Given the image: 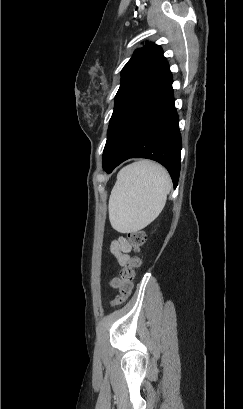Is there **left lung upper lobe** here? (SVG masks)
Masks as SVG:
<instances>
[{
	"label": "left lung upper lobe",
	"instance_id": "1",
	"mask_svg": "<svg viewBox=\"0 0 243 409\" xmlns=\"http://www.w3.org/2000/svg\"><path fill=\"white\" fill-rule=\"evenodd\" d=\"M167 62L160 46L146 43L137 49L121 72V85L115 96L108 136L103 152V166L109 165L117 154L116 125L141 90Z\"/></svg>",
	"mask_w": 243,
	"mask_h": 409
}]
</instances>
